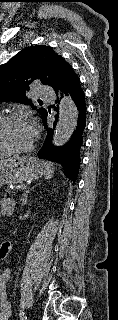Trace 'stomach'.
I'll return each mask as SVG.
<instances>
[{"label":"stomach","instance_id":"stomach-1","mask_svg":"<svg viewBox=\"0 0 118 320\" xmlns=\"http://www.w3.org/2000/svg\"><path fill=\"white\" fill-rule=\"evenodd\" d=\"M45 165L35 157H14L0 162V188L41 178Z\"/></svg>","mask_w":118,"mask_h":320}]
</instances>
